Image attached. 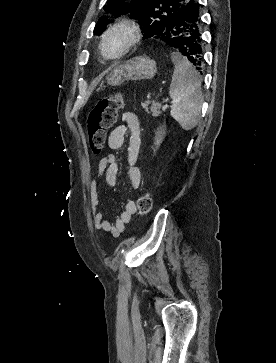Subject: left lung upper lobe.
<instances>
[{"label": "left lung upper lobe", "instance_id": "left-lung-upper-lobe-1", "mask_svg": "<svg viewBox=\"0 0 276 363\" xmlns=\"http://www.w3.org/2000/svg\"><path fill=\"white\" fill-rule=\"evenodd\" d=\"M191 1L193 0H132L130 4H126L123 1L109 0L104 9L117 15L130 13L131 18L139 20V24L143 25L142 33L145 38H158L160 34L169 29L181 8ZM105 24L106 19L100 18L94 33L102 32Z\"/></svg>", "mask_w": 276, "mask_h": 363}]
</instances>
